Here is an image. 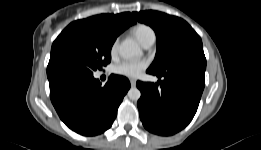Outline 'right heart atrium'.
I'll return each instance as SVG.
<instances>
[{
	"label": "right heart atrium",
	"instance_id": "d8ad5b80",
	"mask_svg": "<svg viewBox=\"0 0 261 150\" xmlns=\"http://www.w3.org/2000/svg\"><path fill=\"white\" fill-rule=\"evenodd\" d=\"M117 47H118V41L115 40L112 45H111V48H110V53L112 56H114L117 52Z\"/></svg>",
	"mask_w": 261,
	"mask_h": 150
}]
</instances>
